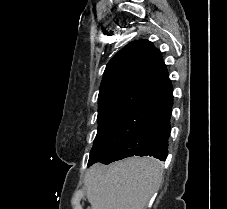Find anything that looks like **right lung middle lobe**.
Returning <instances> with one entry per match:
<instances>
[{
	"label": "right lung middle lobe",
	"instance_id": "right-lung-middle-lobe-1",
	"mask_svg": "<svg viewBox=\"0 0 227 209\" xmlns=\"http://www.w3.org/2000/svg\"><path fill=\"white\" fill-rule=\"evenodd\" d=\"M151 111L148 105L129 98L109 101L98 114V131L90 152L88 166L103 161L112 151L137 132Z\"/></svg>",
	"mask_w": 227,
	"mask_h": 209
}]
</instances>
